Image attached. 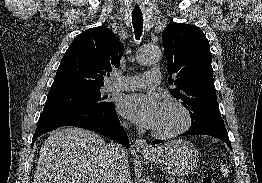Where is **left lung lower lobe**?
Returning a JSON list of instances; mask_svg holds the SVG:
<instances>
[{"instance_id": "left-lung-lower-lobe-1", "label": "left lung lower lobe", "mask_w": 262, "mask_h": 183, "mask_svg": "<svg viewBox=\"0 0 262 183\" xmlns=\"http://www.w3.org/2000/svg\"><path fill=\"white\" fill-rule=\"evenodd\" d=\"M182 135H210L220 140H223L229 146V148L232 149L224 123H213V124L203 125L197 128H190ZM161 142L163 141L162 140L153 141L154 144H159Z\"/></svg>"}]
</instances>
